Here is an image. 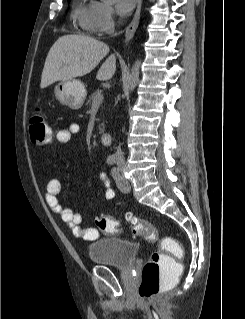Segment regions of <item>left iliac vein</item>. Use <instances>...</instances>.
I'll list each match as a JSON object with an SVG mask.
<instances>
[{
    "instance_id": "obj_1",
    "label": "left iliac vein",
    "mask_w": 245,
    "mask_h": 319,
    "mask_svg": "<svg viewBox=\"0 0 245 319\" xmlns=\"http://www.w3.org/2000/svg\"><path fill=\"white\" fill-rule=\"evenodd\" d=\"M119 170L122 171L123 170V165H119ZM119 180L124 184V190L125 192L130 191V183L128 181V179H126L122 174L119 173Z\"/></svg>"
}]
</instances>
